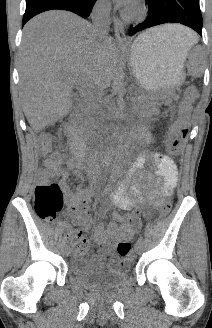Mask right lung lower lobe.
Instances as JSON below:
<instances>
[{
	"label": "right lung lower lobe",
	"mask_w": 212,
	"mask_h": 328,
	"mask_svg": "<svg viewBox=\"0 0 212 328\" xmlns=\"http://www.w3.org/2000/svg\"><path fill=\"white\" fill-rule=\"evenodd\" d=\"M96 0H26V10L23 16L24 25L35 15L53 9L67 10L87 18Z\"/></svg>",
	"instance_id": "1"
}]
</instances>
